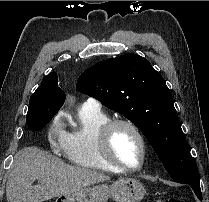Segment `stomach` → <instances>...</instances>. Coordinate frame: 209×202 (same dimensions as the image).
I'll use <instances>...</instances> for the list:
<instances>
[{"instance_id":"1","label":"stomach","mask_w":209,"mask_h":202,"mask_svg":"<svg viewBox=\"0 0 209 202\" xmlns=\"http://www.w3.org/2000/svg\"><path fill=\"white\" fill-rule=\"evenodd\" d=\"M145 187L133 178H121L112 183L86 187L80 191L57 197L55 202H140L145 195Z\"/></svg>"}]
</instances>
